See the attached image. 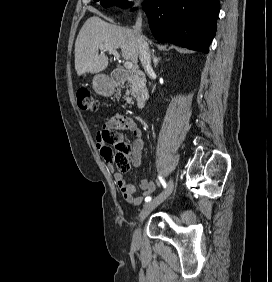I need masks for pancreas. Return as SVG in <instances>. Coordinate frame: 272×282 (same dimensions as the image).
<instances>
[{
    "mask_svg": "<svg viewBox=\"0 0 272 282\" xmlns=\"http://www.w3.org/2000/svg\"><path fill=\"white\" fill-rule=\"evenodd\" d=\"M131 88H132V89L130 90V92H131V94L133 95V94H134V86L132 85ZM126 100H127L128 103H131V102H132V98H130V97H126Z\"/></svg>",
    "mask_w": 272,
    "mask_h": 282,
    "instance_id": "pancreas-1",
    "label": "pancreas"
}]
</instances>
